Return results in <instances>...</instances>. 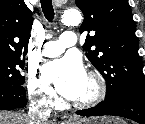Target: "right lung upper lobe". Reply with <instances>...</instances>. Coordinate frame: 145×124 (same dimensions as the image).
<instances>
[{
  "label": "right lung upper lobe",
  "instance_id": "cb5924a9",
  "mask_svg": "<svg viewBox=\"0 0 145 124\" xmlns=\"http://www.w3.org/2000/svg\"><path fill=\"white\" fill-rule=\"evenodd\" d=\"M32 24V13L24 0H1L0 53L24 56Z\"/></svg>",
  "mask_w": 145,
  "mask_h": 124
}]
</instances>
